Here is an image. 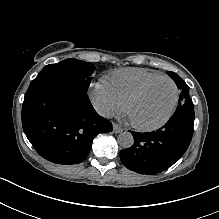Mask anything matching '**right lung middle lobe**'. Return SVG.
I'll return each instance as SVG.
<instances>
[{
    "label": "right lung middle lobe",
    "mask_w": 219,
    "mask_h": 219,
    "mask_svg": "<svg viewBox=\"0 0 219 219\" xmlns=\"http://www.w3.org/2000/svg\"><path fill=\"white\" fill-rule=\"evenodd\" d=\"M94 70L95 66L91 63L70 58L45 66L33 81L60 80L74 83L87 91Z\"/></svg>",
    "instance_id": "right-lung-middle-lobe-1"
}]
</instances>
